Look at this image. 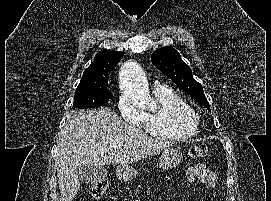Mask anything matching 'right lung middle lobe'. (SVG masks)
<instances>
[{
  "label": "right lung middle lobe",
  "mask_w": 271,
  "mask_h": 201,
  "mask_svg": "<svg viewBox=\"0 0 271 201\" xmlns=\"http://www.w3.org/2000/svg\"><path fill=\"white\" fill-rule=\"evenodd\" d=\"M109 75L82 78L75 91L73 105L77 108H94L108 102L113 97L108 89Z\"/></svg>",
  "instance_id": "1"
}]
</instances>
